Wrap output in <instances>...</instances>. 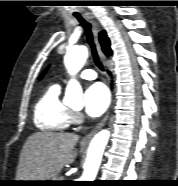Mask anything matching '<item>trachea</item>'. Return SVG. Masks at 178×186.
<instances>
[{"instance_id":"1","label":"trachea","mask_w":178,"mask_h":186,"mask_svg":"<svg viewBox=\"0 0 178 186\" xmlns=\"http://www.w3.org/2000/svg\"><path fill=\"white\" fill-rule=\"evenodd\" d=\"M77 19L84 26L85 34H86V37H87V42L91 47L94 62L97 65V67L101 71H103L104 70L103 69V64H102V62L100 60V57L98 55V52H97V48H96V45H95V42H94V37H93V32H92V29H91V25H90V23L85 21L82 17H77Z\"/></svg>"}]
</instances>
